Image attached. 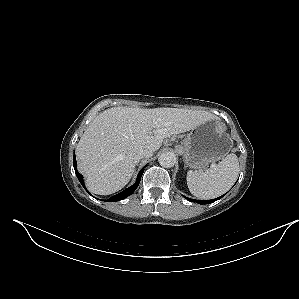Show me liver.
<instances>
[{"label": "liver", "instance_id": "liver-1", "mask_svg": "<svg viewBox=\"0 0 299 299\" xmlns=\"http://www.w3.org/2000/svg\"><path fill=\"white\" fill-rule=\"evenodd\" d=\"M217 117L207 111L178 108H109L90 123L77 144L79 171L92 193L109 195L131 179L141 149L157 151L163 139Z\"/></svg>", "mask_w": 299, "mask_h": 299}]
</instances>
